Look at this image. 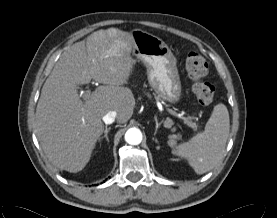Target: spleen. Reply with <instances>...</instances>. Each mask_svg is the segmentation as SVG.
<instances>
[{
	"mask_svg": "<svg viewBox=\"0 0 277 218\" xmlns=\"http://www.w3.org/2000/svg\"><path fill=\"white\" fill-rule=\"evenodd\" d=\"M230 131L227 107L219 103L214 106L205 130L193 136L188 142L174 147L177 156L188 160L197 174L210 171L221 160L225 152Z\"/></svg>",
	"mask_w": 277,
	"mask_h": 218,
	"instance_id": "3e777b00",
	"label": "spleen"
}]
</instances>
